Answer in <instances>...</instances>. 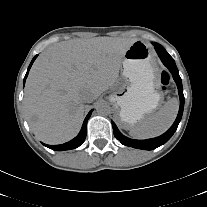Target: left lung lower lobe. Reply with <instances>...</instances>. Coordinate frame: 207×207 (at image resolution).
Masks as SVG:
<instances>
[{"instance_id":"left-lung-lower-lobe-1","label":"left lung lower lobe","mask_w":207,"mask_h":207,"mask_svg":"<svg viewBox=\"0 0 207 207\" xmlns=\"http://www.w3.org/2000/svg\"><path fill=\"white\" fill-rule=\"evenodd\" d=\"M153 45L161 61L173 75V79L175 80L178 87V92L180 96V108L174 124L170 127L168 131H166L163 135L159 137L153 139H147V140H133L122 135L117 129L115 123L112 122L114 135L117 140H119L123 145L130 146L133 148H138V149H144V150H153L166 143L172 137V135L174 134V132L178 127L179 122L181 121L183 109H184V95H183L182 81L179 76L175 61L160 44L154 42Z\"/></svg>"}]
</instances>
